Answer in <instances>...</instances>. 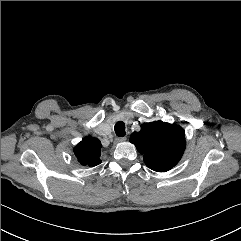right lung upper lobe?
Returning <instances> with one entry per match:
<instances>
[{"mask_svg": "<svg viewBox=\"0 0 241 241\" xmlns=\"http://www.w3.org/2000/svg\"><path fill=\"white\" fill-rule=\"evenodd\" d=\"M101 142L93 137H86L74 148V154L82 165L96 166L101 163Z\"/></svg>", "mask_w": 241, "mask_h": 241, "instance_id": "1", "label": "right lung upper lobe"}]
</instances>
